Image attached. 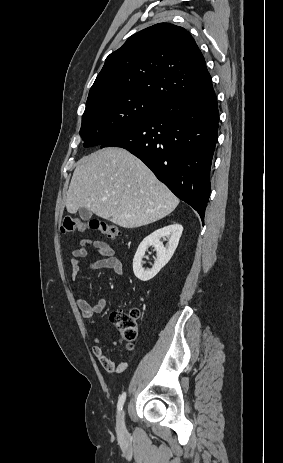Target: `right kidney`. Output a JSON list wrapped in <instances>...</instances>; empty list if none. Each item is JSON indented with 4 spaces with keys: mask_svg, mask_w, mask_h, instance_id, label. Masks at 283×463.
I'll list each match as a JSON object with an SVG mask.
<instances>
[{
    "mask_svg": "<svg viewBox=\"0 0 283 463\" xmlns=\"http://www.w3.org/2000/svg\"><path fill=\"white\" fill-rule=\"evenodd\" d=\"M182 231V225L172 224L156 230L140 243L133 259V272L139 280L148 281L152 279L169 262L178 246ZM161 238L168 239L166 247L160 241ZM149 246H154L157 252V260L151 269L144 270L142 258Z\"/></svg>",
    "mask_w": 283,
    "mask_h": 463,
    "instance_id": "1",
    "label": "right kidney"
}]
</instances>
